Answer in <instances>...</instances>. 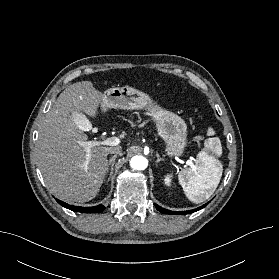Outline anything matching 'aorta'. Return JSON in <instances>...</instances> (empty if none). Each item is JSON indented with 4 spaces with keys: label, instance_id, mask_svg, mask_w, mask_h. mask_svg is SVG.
Listing matches in <instances>:
<instances>
[{
    "label": "aorta",
    "instance_id": "aorta-1",
    "mask_svg": "<svg viewBox=\"0 0 279 279\" xmlns=\"http://www.w3.org/2000/svg\"><path fill=\"white\" fill-rule=\"evenodd\" d=\"M148 165V161L145 157L137 155L131 158L130 166L135 170H144Z\"/></svg>",
    "mask_w": 279,
    "mask_h": 279
}]
</instances>
